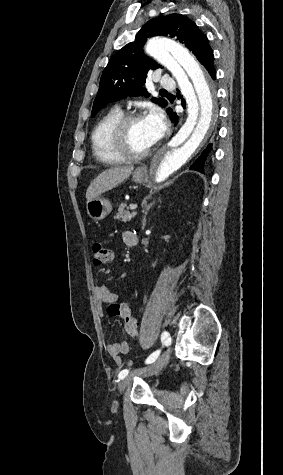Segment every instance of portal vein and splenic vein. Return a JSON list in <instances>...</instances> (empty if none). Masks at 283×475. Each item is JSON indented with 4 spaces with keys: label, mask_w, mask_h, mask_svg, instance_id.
<instances>
[{
    "label": "portal vein and splenic vein",
    "mask_w": 283,
    "mask_h": 475,
    "mask_svg": "<svg viewBox=\"0 0 283 475\" xmlns=\"http://www.w3.org/2000/svg\"><path fill=\"white\" fill-rule=\"evenodd\" d=\"M129 208L130 210H136L137 204H130Z\"/></svg>",
    "instance_id": "18ae733b"
}]
</instances>
